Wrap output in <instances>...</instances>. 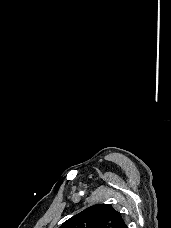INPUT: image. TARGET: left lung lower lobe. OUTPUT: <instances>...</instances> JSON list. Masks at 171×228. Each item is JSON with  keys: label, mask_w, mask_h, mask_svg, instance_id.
<instances>
[{"label": "left lung lower lobe", "mask_w": 171, "mask_h": 228, "mask_svg": "<svg viewBox=\"0 0 171 228\" xmlns=\"http://www.w3.org/2000/svg\"><path fill=\"white\" fill-rule=\"evenodd\" d=\"M123 228H127V225L125 224V225L123 226Z\"/></svg>", "instance_id": "left-lung-lower-lobe-1"}]
</instances>
